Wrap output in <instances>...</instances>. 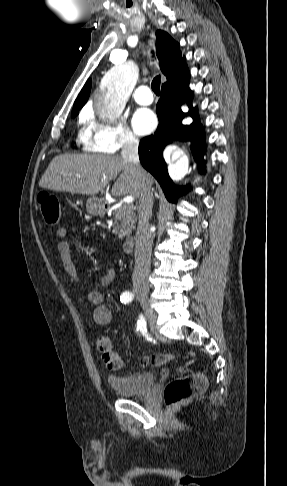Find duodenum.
I'll use <instances>...</instances> for the list:
<instances>
[{
  "label": "duodenum",
  "instance_id": "410a0bca",
  "mask_svg": "<svg viewBox=\"0 0 287 486\" xmlns=\"http://www.w3.org/2000/svg\"><path fill=\"white\" fill-rule=\"evenodd\" d=\"M108 206L105 205V208H107ZM134 244H135V241H134V238L132 236H129L125 239L124 243H123V246H122V249L125 253H130L133 251V248H134Z\"/></svg>",
  "mask_w": 287,
  "mask_h": 486
}]
</instances>
